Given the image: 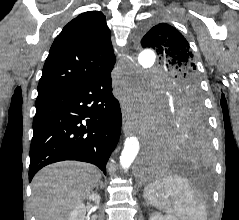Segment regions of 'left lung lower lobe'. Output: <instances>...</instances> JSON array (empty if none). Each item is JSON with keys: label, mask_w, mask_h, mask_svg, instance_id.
Wrapping results in <instances>:
<instances>
[{"label": "left lung lower lobe", "mask_w": 239, "mask_h": 220, "mask_svg": "<svg viewBox=\"0 0 239 220\" xmlns=\"http://www.w3.org/2000/svg\"><path fill=\"white\" fill-rule=\"evenodd\" d=\"M209 152V134L201 109L164 108L159 117L157 137L142 158L141 171L152 174L177 164L197 163Z\"/></svg>", "instance_id": "1"}]
</instances>
